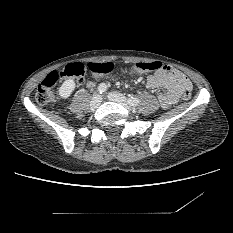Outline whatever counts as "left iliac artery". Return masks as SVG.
Wrapping results in <instances>:
<instances>
[{
	"label": "left iliac artery",
	"mask_w": 233,
	"mask_h": 233,
	"mask_svg": "<svg viewBox=\"0 0 233 233\" xmlns=\"http://www.w3.org/2000/svg\"><path fill=\"white\" fill-rule=\"evenodd\" d=\"M128 103L131 105V106H136L140 103V100L138 98H135V97H130L128 99Z\"/></svg>",
	"instance_id": "1"
}]
</instances>
